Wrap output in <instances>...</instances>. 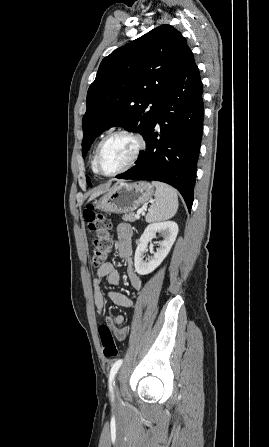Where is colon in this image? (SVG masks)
<instances>
[{"label":"colon","instance_id":"obj_1","mask_svg":"<svg viewBox=\"0 0 269 447\" xmlns=\"http://www.w3.org/2000/svg\"><path fill=\"white\" fill-rule=\"evenodd\" d=\"M88 230L93 235V251L91 264L99 267L107 262L113 244L112 227L109 219L94 207L88 206L82 212ZM98 336L102 352L106 358H116L119 355L111 327L107 323L98 326Z\"/></svg>","mask_w":269,"mask_h":447}]
</instances>
